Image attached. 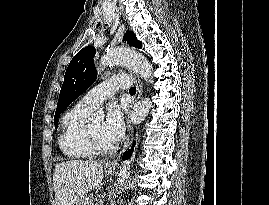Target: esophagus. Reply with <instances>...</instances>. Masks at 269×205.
I'll use <instances>...</instances> for the list:
<instances>
[{
    "mask_svg": "<svg viewBox=\"0 0 269 205\" xmlns=\"http://www.w3.org/2000/svg\"><path fill=\"white\" fill-rule=\"evenodd\" d=\"M131 76L134 80V83H135V86H136V94L133 98V101H132V105H134L138 100L139 98L141 97L142 95V91H143V86H142V82L139 78L138 75H135V74H132L131 73ZM132 135H133V125L132 123L130 122V119L128 117V121H127V135H126V141H125V144L123 146V149L122 151H126L127 148L130 146L131 144V141H132ZM111 165H113L114 163H110Z\"/></svg>",
    "mask_w": 269,
    "mask_h": 205,
    "instance_id": "esophagus-1",
    "label": "esophagus"
}]
</instances>
